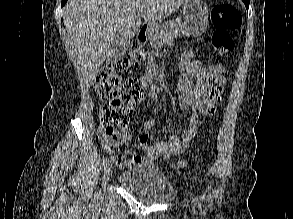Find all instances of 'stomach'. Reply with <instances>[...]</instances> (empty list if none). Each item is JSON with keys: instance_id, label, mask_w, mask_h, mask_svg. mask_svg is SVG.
<instances>
[{"instance_id": "1", "label": "stomach", "mask_w": 293, "mask_h": 219, "mask_svg": "<svg viewBox=\"0 0 293 219\" xmlns=\"http://www.w3.org/2000/svg\"><path fill=\"white\" fill-rule=\"evenodd\" d=\"M184 25L189 34L196 37L205 32L208 26L209 8L201 0H187L183 5ZM159 26H154L150 32L155 33Z\"/></svg>"}]
</instances>
